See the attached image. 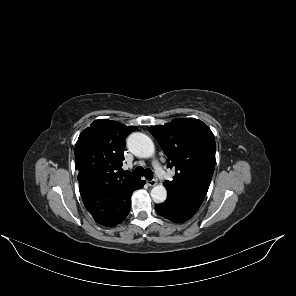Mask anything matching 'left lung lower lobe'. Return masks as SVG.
Wrapping results in <instances>:
<instances>
[{"label": "left lung lower lobe", "instance_id": "1", "mask_svg": "<svg viewBox=\"0 0 296 296\" xmlns=\"http://www.w3.org/2000/svg\"><path fill=\"white\" fill-rule=\"evenodd\" d=\"M202 202V200L168 196L164 203L155 206V210L158 214L172 222L182 223L190 219L197 212Z\"/></svg>", "mask_w": 296, "mask_h": 296}]
</instances>
